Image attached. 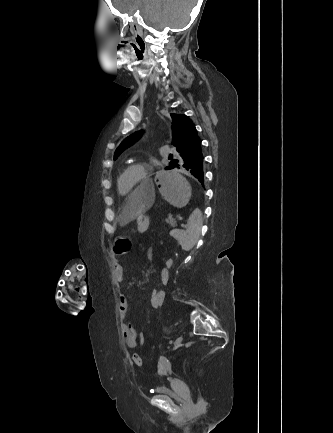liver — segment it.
<instances>
[{"label": "liver", "instance_id": "liver-1", "mask_svg": "<svg viewBox=\"0 0 333 433\" xmlns=\"http://www.w3.org/2000/svg\"><path fill=\"white\" fill-rule=\"evenodd\" d=\"M138 192H129V201H119L118 207L119 224L126 226L132 220H136L139 215H146L150 209V202L155 201L156 194L154 191L155 186L153 183H138Z\"/></svg>", "mask_w": 333, "mask_h": 433}]
</instances>
